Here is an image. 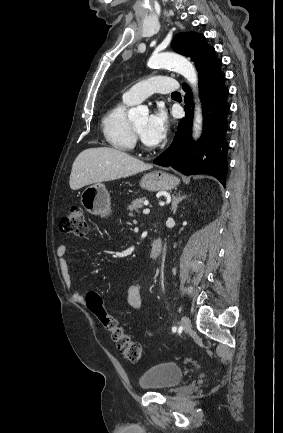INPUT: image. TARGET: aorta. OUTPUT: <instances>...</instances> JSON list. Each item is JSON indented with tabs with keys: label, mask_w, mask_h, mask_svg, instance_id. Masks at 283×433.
I'll return each instance as SVG.
<instances>
[{
	"label": "aorta",
	"mask_w": 283,
	"mask_h": 433,
	"mask_svg": "<svg viewBox=\"0 0 283 433\" xmlns=\"http://www.w3.org/2000/svg\"><path fill=\"white\" fill-rule=\"evenodd\" d=\"M148 65L151 67H162V68H170L173 71L181 74L184 78L187 79L190 86L192 87L195 93H198V75L196 69L193 64L188 61L185 57L170 53L163 52L159 54H153L149 61ZM148 110L146 107L138 106L136 108H132L128 112V117L130 120H136L137 118L146 115ZM203 126V115L200 100L196 99V107L193 121V137L198 138L201 135Z\"/></svg>",
	"instance_id": "aorta-1"
}]
</instances>
